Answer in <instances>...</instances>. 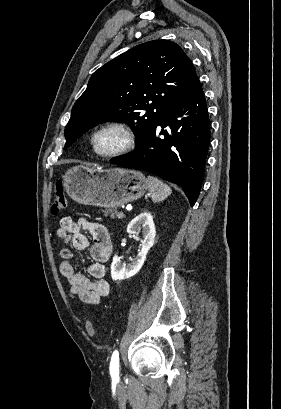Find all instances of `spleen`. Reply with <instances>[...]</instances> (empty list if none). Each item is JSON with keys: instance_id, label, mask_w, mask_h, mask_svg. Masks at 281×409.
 <instances>
[{"instance_id": "1", "label": "spleen", "mask_w": 281, "mask_h": 409, "mask_svg": "<svg viewBox=\"0 0 281 409\" xmlns=\"http://www.w3.org/2000/svg\"><path fill=\"white\" fill-rule=\"evenodd\" d=\"M148 188L149 194L153 200V202H160V200H165L169 194H171L172 190L168 184H164L162 180L159 178H155V176H148Z\"/></svg>"}]
</instances>
